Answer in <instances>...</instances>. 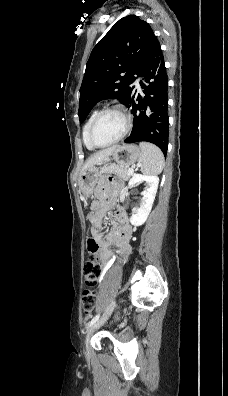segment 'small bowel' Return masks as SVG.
Segmentation results:
<instances>
[{"label": "small bowel", "mask_w": 228, "mask_h": 396, "mask_svg": "<svg viewBox=\"0 0 228 396\" xmlns=\"http://www.w3.org/2000/svg\"><path fill=\"white\" fill-rule=\"evenodd\" d=\"M118 189V182L115 178H110L106 182L102 183L96 190V195L98 198V201H96L93 204V207L97 210H99V213L97 216L94 217L93 220V232L96 238V241L98 243V249L96 251L98 260L100 262V266L102 270L107 269L110 261L113 259L115 256V253L109 248L110 242L114 241L119 248L118 254L120 255H125L130 252V245H129V238H130V232L125 233V235L120 236L117 229L111 232L109 236L105 235L101 228H100V217H101V211L103 210L104 204L103 201L105 198H107L111 191L117 190ZM115 215L116 218H123L125 220V213L121 209H116L115 210ZM127 223V222H126ZM128 225V224H127ZM129 226V225H128ZM130 227V226H129Z\"/></svg>", "instance_id": "c3829d8e"}]
</instances>
